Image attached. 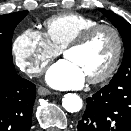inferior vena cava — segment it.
I'll return each mask as SVG.
<instances>
[{
  "mask_svg": "<svg viewBox=\"0 0 131 131\" xmlns=\"http://www.w3.org/2000/svg\"><path fill=\"white\" fill-rule=\"evenodd\" d=\"M38 72H40V69L36 68V67H32V68L27 69L28 74L38 73Z\"/></svg>",
  "mask_w": 131,
  "mask_h": 131,
  "instance_id": "602c4592",
  "label": "inferior vena cava"
}]
</instances>
